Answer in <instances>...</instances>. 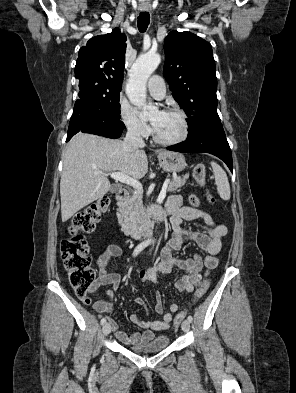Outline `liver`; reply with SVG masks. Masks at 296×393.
<instances>
[{"mask_svg": "<svg viewBox=\"0 0 296 393\" xmlns=\"http://www.w3.org/2000/svg\"><path fill=\"white\" fill-rule=\"evenodd\" d=\"M123 143L81 132L70 140L63 154L60 180L62 222L108 193L111 184L106 173L119 171L135 179L146 175L145 151H126Z\"/></svg>", "mask_w": 296, "mask_h": 393, "instance_id": "liver-1", "label": "liver"}]
</instances>
